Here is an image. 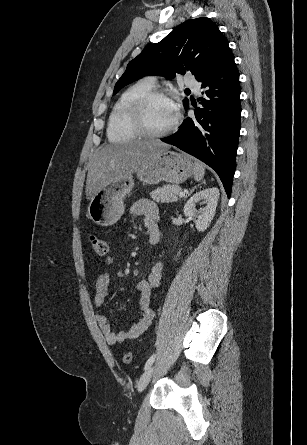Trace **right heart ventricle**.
<instances>
[{"instance_id":"right-heart-ventricle-1","label":"right heart ventricle","mask_w":307,"mask_h":445,"mask_svg":"<svg viewBox=\"0 0 307 445\" xmlns=\"http://www.w3.org/2000/svg\"><path fill=\"white\" fill-rule=\"evenodd\" d=\"M152 88L148 82H140L128 89L115 103L109 116L107 132L110 140H141L138 137L140 131L135 122L134 108Z\"/></svg>"}]
</instances>
